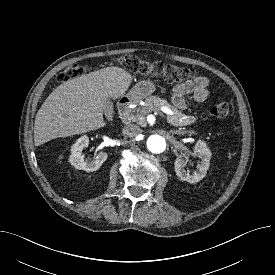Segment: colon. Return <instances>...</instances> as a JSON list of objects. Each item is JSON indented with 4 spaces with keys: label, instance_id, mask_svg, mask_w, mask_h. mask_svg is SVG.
Returning a JSON list of instances; mask_svg holds the SVG:
<instances>
[{
    "label": "colon",
    "instance_id": "5ec220e1",
    "mask_svg": "<svg viewBox=\"0 0 275 275\" xmlns=\"http://www.w3.org/2000/svg\"><path fill=\"white\" fill-rule=\"evenodd\" d=\"M119 63L127 70L145 76L160 77L169 83L185 82L193 79L196 71L192 68L180 67L162 62H147L138 56L126 54L119 58ZM84 69L79 65H71L59 75L60 81H69L80 77ZM211 114L218 119H227L231 114L228 103L221 102L212 106Z\"/></svg>",
    "mask_w": 275,
    "mask_h": 275
}]
</instances>
